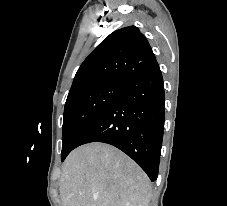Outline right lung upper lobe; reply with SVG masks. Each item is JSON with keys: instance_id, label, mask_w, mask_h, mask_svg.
Returning <instances> with one entry per match:
<instances>
[{"instance_id": "cb5924a9", "label": "right lung upper lobe", "mask_w": 227, "mask_h": 206, "mask_svg": "<svg viewBox=\"0 0 227 206\" xmlns=\"http://www.w3.org/2000/svg\"><path fill=\"white\" fill-rule=\"evenodd\" d=\"M156 64L155 55L139 29L124 27L107 36L84 60L69 94L105 80L126 82Z\"/></svg>"}]
</instances>
